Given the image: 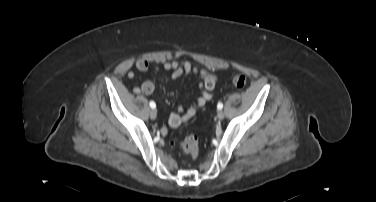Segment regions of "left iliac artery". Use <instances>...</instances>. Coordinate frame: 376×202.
<instances>
[{"label": "left iliac artery", "mask_w": 376, "mask_h": 202, "mask_svg": "<svg viewBox=\"0 0 376 202\" xmlns=\"http://www.w3.org/2000/svg\"><path fill=\"white\" fill-rule=\"evenodd\" d=\"M217 108H218V109H222V108H223V104H222L221 102H219V103L217 104Z\"/></svg>", "instance_id": "obj_1"}]
</instances>
